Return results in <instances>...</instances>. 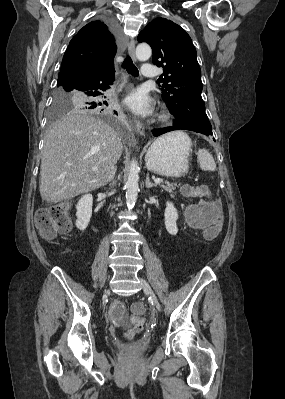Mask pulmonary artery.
Here are the masks:
<instances>
[{
    "instance_id": "pulmonary-artery-1",
    "label": "pulmonary artery",
    "mask_w": 285,
    "mask_h": 399,
    "mask_svg": "<svg viewBox=\"0 0 285 399\" xmlns=\"http://www.w3.org/2000/svg\"><path fill=\"white\" fill-rule=\"evenodd\" d=\"M141 75L144 78H155L157 75L155 66L150 63H144L141 68Z\"/></svg>"
}]
</instances>
